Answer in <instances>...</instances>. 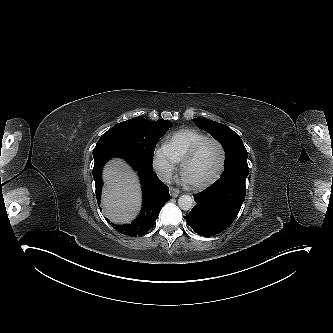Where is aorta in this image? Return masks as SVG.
<instances>
[{"label":"aorta","mask_w":333,"mask_h":333,"mask_svg":"<svg viewBox=\"0 0 333 333\" xmlns=\"http://www.w3.org/2000/svg\"><path fill=\"white\" fill-rule=\"evenodd\" d=\"M178 205L182 210L188 211V210L192 209V207L194 205V200L189 195H182L178 199Z\"/></svg>","instance_id":"762f6f07"}]
</instances>
